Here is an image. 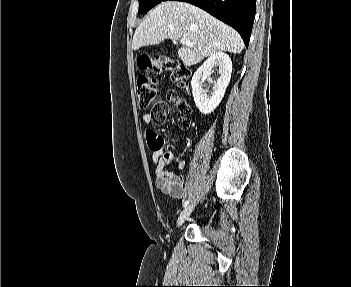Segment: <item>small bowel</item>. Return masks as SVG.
<instances>
[{
	"label": "small bowel",
	"mask_w": 351,
	"mask_h": 287,
	"mask_svg": "<svg viewBox=\"0 0 351 287\" xmlns=\"http://www.w3.org/2000/svg\"><path fill=\"white\" fill-rule=\"evenodd\" d=\"M153 121L151 114L142 115V122L150 125ZM145 142L152 154V163L155 165L156 186L173 198L181 199L185 196L186 189L180 172L185 168V160L176 157L173 152L165 150L166 136L155 132V127H144ZM175 163L174 170L165 167Z\"/></svg>",
	"instance_id": "1"
}]
</instances>
